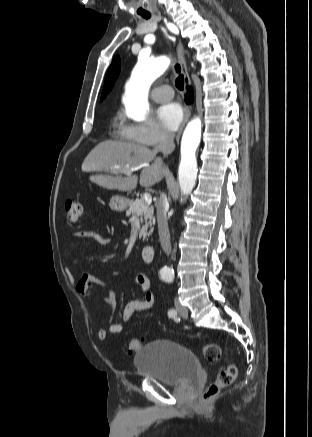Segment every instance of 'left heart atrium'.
Returning <instances> with one entry per match:
<instances>
[{
	"label": "left heart atrium",
	"mask_w": 312,
	"mask_h": 437,
	"mask_svg": "<svg viewBox=\"0 0 312 437\" xmlns=\"http://www.w3.org/2000/svg\"><path fill=\"white\" fill-rule=\"evenodd\" d=\"M158 119L161 125L168 131H175L183 118L182 108L177 103H168L158 110Z\"/></svg>",
	"instance_id": "obj_1"
}]
</instances>
